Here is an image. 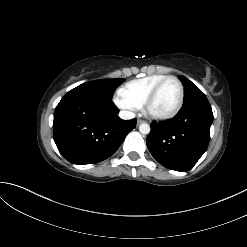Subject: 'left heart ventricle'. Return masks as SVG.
Returning <instances> with one entry per match:
<instances>
[{
  "label": "left heart ventricle",
  "instance_id": "obj_1",
  "mask_svg": "<svg viewBox=\"0 0 247 247\" xmlns=\"http://www.w3.org/2000/svg\"><path fill=\"white\" fill-rule=\"evenodd\" d=\"M179 101V86L176 81L168 80L161 87L150 104L149 110L156 115H165L174 110Z\"/></svg>",
  "mask_w": 247,
  "mask_h": 247
}]
</instances>
